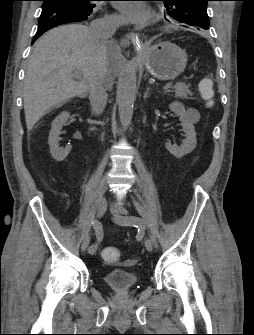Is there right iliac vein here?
<instances>
[{
	"mask_svg": "<svg viewBox=\"0 0 254 335\" xmlns=\"http://www.w3.org/2000/svg\"><path fill=\"white\" fill-rule=\"evenodd\" d=\"M107 200L104 197H101L97 202L96 214L97 217H102L107 210ZM90 244V236H87L81 243L80 250L82 253H85L88 250Z\"/></svg>",
	"mask_w": 254,
	"mask_h": 335,
	"instance_id": "63e3f726",
	"label": "right iliac vein"
}]
</instances>
